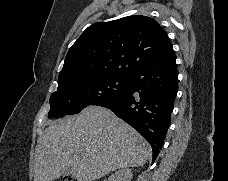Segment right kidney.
<instances>
[{
  "label": "right kidney",
  "instance_id": "obj_1",
  "mask_svg": "<svg viewBox=\"0 0 228 181\" xmlns=\"http://www.w3.org/2000/svg\"><path fill=\"white\" fill-rule=\"evenodd\" d=\"M131 179V169H120V171L113 173V175L109 177L108 181H131Z\"/></svg>",
  "mask_w": 228,
  "mask_h": 181
}]
</instances>
